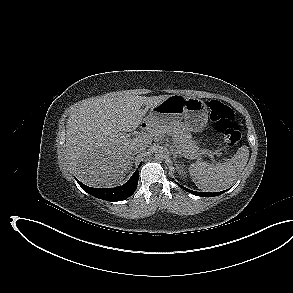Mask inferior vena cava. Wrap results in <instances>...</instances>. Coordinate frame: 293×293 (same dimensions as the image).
<instances>
[{
	"mask_svg": "<svg viewBox=\"0 0 293 293\" xmlns=\"http://www.w3.org/2000/svg\"><path fill=\"white\" fill-rule=\"evenodd\" d=\"M146 148H147L146 144L138 143L134 147V152H135V154L141 153V152H144L146 150Z\"/></svg>",
	"mask_w": 293,
	"mask_h": 293,
	"instance_id": "obj_1",
	"label": "inferior vena cava"
}]
</instances>
